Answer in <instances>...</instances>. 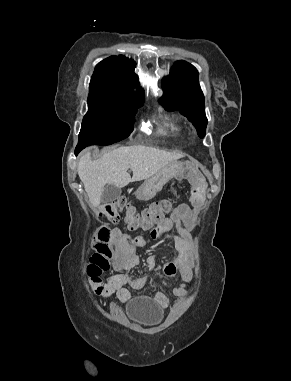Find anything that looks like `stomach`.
Masks as SVG:
<instances>
[{
    "instance_id": "stomach-1",
    "label": "stomach",
    "mask_w": 291,
    "mask_h": 381,
    "mask_svg": "<svg viewBox=\"0 0 291 381\" xmlns=\"http://www.w3.org/2000/svg\"><path fill=\"white\" fill-rule=\"evenodd\" d=\"M185 163L180 161H174L162 168L152 177L145 179L142 185L135 192L136 197L139 200H150L158 192H160L163 186L173 177L179 175L184 169Z\"/></svg>"
}]
</instances>
